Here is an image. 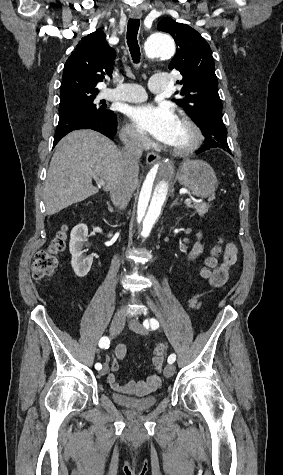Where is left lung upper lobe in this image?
<instances>
[{"instance_id":"1","label":"left lung upper lobe","mask_w":283,"mask_h":475,"mask_svg":"<svg viewBox=\"0 0 283 475\" xmlns=\"http://www.w3.org/2000/svg\"><path fill=\"white\" fill-rule=\"evenodd\" d=\"M159 31L169 33L178 46L169 69L179 70L183 79L181 99H173L183 107L198 125L211 111H222L215 75L214 60L207 41L193 28L171 18L162 19Z\"/></svg>"}]
</instances>
